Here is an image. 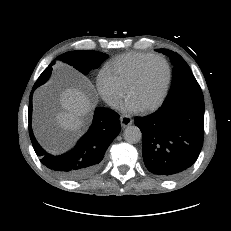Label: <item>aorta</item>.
Here are the masks:
<instances>
[{
	"label": "aorta",
	"mask_w": 231,
	"mask_h": 231,
	"mask_svg": "<svg viewBox=\"0 0 231 231\" xmlns=\"http://www.w3.org/2000/svg\"><path fill=\"white\" fill-rule=\"evenodd\" d=\"M126 142L130 144L138 143L142 139V133L137 126H128L123 133Z\"/></svg>",
	"instance_id": "obj_1"
}]
</instances>
